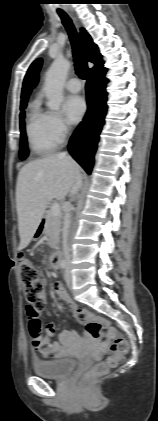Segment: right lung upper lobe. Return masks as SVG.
<instances>
[{"label":"right lung upper lobe","mask_w":158,"mask_h":421,"mask_svg":"<svg viewBox=\"0 0 158 421\" xmlns=\"http://www.w3.org/2000/svg\"><path fill=\"white\" fill-rule=\"evenodd\" d=\"M80 39H81V44L86 53L87 60L95 64V67L92 68L91 70L101 67L103 65V60H102L101 54L99 53L98 47L96 44L93 43L90 35L83 28L81 29V32H80ZM41 64H42V59L39 58L31 64V66L29 67L27 71V74L23 81V88H22V93H21V105H26V102L31 92L32 83L41 67Z\"/></svg>","instance_id":"right-lung-upper-lobe-1"}]
</instances>
